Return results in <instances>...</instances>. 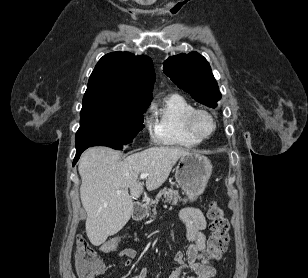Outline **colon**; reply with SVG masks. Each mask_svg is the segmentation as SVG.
I'll list each match as a JSON object with an SVG mask.
<instances>
[{"mask_svg":"<svg viewBox=\"0 0 308 278\" xmlns=\"http://www.w3.org/2000/svg\"><path fill=\"white\" fill-rule=\"evenodd\" d=\"M210 219L211 236L207 248L203 252L209 261L219 259L226 251L229 242V222L224 216L223 209L214 201L210 202L207 210ZM121 235H112L110 240L101 243V253H117L120 250ZM75 267L79 278H97L104 271V263L96 251L89 245L85 237L79 235L76 240Z\"/></svg>","mask_w":308,"mask_h":278,"instance_id":"colon-1","label":"colon"}]
</instances>
